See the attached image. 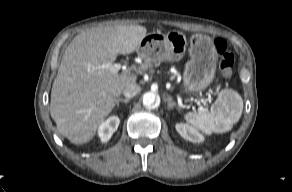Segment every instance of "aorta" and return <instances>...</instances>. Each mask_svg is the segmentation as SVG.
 <instances>
[{"label":"aorta","instance_id":"1","mask_svg":"<svg viewBox=\"0 0 292 192\" xmlns=\"http://www.w3.org/2000/svg\"><path fill=\"white\" fill-rule=\"evenodd\" d=\"M160 104V98L153 92H146L143 95V105L146 108L154 109Z\"/></svg>","mask_w":292,"mask_h":192}]
</instances>
